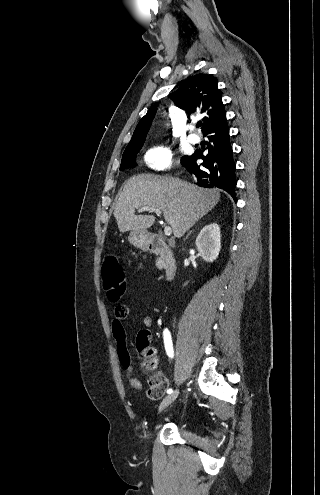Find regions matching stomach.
I'll use <instances>...</instances> for the list:
<instances>
[{"label": "stomach", "instance_id": "0dacf381", "mask_svg": "<svg viewBox=\"0 0 320 495\" xmlns=\"http://www.w3.org/2000/svg\"><path fill=\"white\" fill-rule=\"evenodd\" d=\"M128 241L137 248H145L149 243L148 233L146 231H131Z\"/></svg>", "mask_w": 320, "mask_h": 495}]
</instances>
